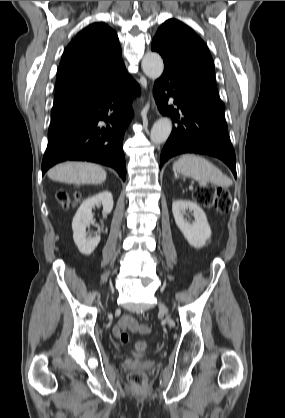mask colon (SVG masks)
<instances>
[{"instance_id":"obj_1","label":"colon","mask_w":285,"mask_h":418,"mask_svg":"<svg viewBox=\"0 0 285 418\" xmlns=\"http://www.w3.org/2000/svg\"><path fill=\"white\" fill-rule=\"evenodd\" d=\"M78 198V194L74 195ZM57 198L59 199L63 208L68 209L72 205L71 196L65 191H58ZM194 199L207 208H214L219 212H227L231 204V196L228 190L216 186H207L195 191ZM120 341L126 343L129 341V334L126 331H121L118 334ZM136 349L139 352H144L148 349V344L145 341L136 343ZM131 384L137 388L146 386V377L141 372H131L129 374Z\"/></svg>"}]
</instances>
